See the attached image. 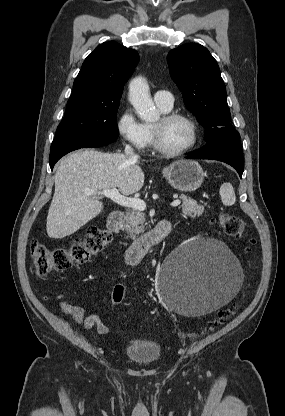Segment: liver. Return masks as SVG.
Instances as JSON below:
<instances>
[{"label": "liver", "instance_id": "obj_1", "mask_svg": "<svg viewBox=\"0 0 285 416\" xmlns=\"http://www.w3.org/2000/svg\"><path fill=\"white\" fill-rule=\"evenodd\" d=\"M124 154H102L97 150H77L61 162L55 176V192L47 216L49 238L75 234L103 210L96 196L86 190L118 188L123 196L136 194L145 176Z\"/></svg>", "mask_w": 285, "mask_h": 416}]
</instances>
